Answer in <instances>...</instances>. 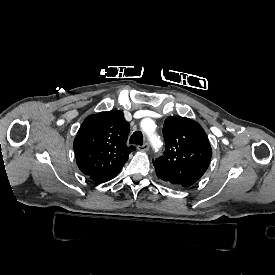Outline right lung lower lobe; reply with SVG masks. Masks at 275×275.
Here are the masks:
<instances>
[{
    "label": "right lung lower lobe",
    "instance_id": "1",
    "mask_svg": "<svg viewBox=\"0 0 275 275\" xmlns=\"http://www.w3.org/2000/svg\"><path fill=\"white\" fill-rule=\"evenodd\" d=\"M118 173H113V174H106V175H93V176H89L91 179L97 181V182H105L108 180H111L112 178H114Z\"/></svg>",
    "mask_w": 275,
    "mask_h": 275
}]
</instances>
